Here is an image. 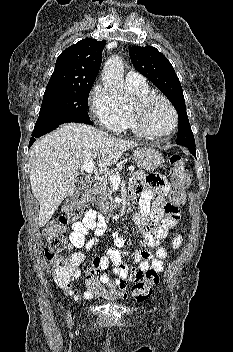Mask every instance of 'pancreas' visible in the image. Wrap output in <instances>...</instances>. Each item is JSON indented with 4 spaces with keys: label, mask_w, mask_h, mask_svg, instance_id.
Wrapping results in <instances>:
<instances>
[{
    "label": "pancreas",
    "mask_w": 233,
    "mask_h": 352,
    "mask_svg": "<svg viewBox=\"0 0 233 352\" xmlns=\"http://www.w3.org/2000/svg\"><path fill=\"white\" fill-rule=\"evenodd\" d=\"M131 180L133 182L141 181L145 178V173L143 171L131 172ZM114 186L108 180H105L98 192L99 196L97 198V207L105 213L111 212L115 207V202L113 200Z\"/></svg>",
    "instance_id": "obj_1"
}]
</instances>
